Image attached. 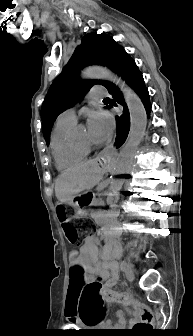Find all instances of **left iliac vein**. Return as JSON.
<instances>
[{"mask_svg":"<svg viewBox=\"0 0 193 336\" xmlns=\"http://www.w3.org/2000/svg\"><path fill=\"white\" fill-rule=\"evenodd\" d=\"M121 266H122V268L124 270L126 278L130 282H132L134 280V278H135L134 271H133L132 267L126 261H122L121 262Z\"/></svg>","mask_w":193,"mask_h":336,"instance_id":"obj_1","label":"left iliac vein"}]
</instances>
